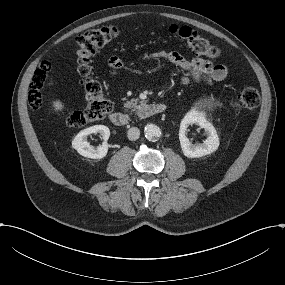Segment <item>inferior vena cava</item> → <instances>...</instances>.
Here are the masks:
<instances>
[{
  "label": "inferior vena cava",
  "instance_id": "obj_1",
  "mask_svg": "<svg viewBox=\"0 0 285 285\" xmlns=\"http://www.w3.org/2000/svg\"><path fill=\"white\" fill-rule=\"evenodd\" d=\"M127 136L129 140H137L140 136V131L137 127H131L127 132Z\"/></svg>",
  "mask_w": 285,
  "mask_h": 285
}]
</instances>
